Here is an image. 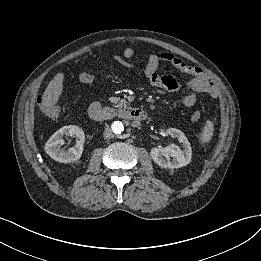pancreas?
I'll list each match as a JSON object with an SVG mask.
<instances>
[{"mask_svg":"<svg viewBox=\"0 0 261 261\" xmlns=\"http://www.w3.org/2000/svg\"><path fill=\"white\" fill-rule=\"evenodd\" d=\"M110 102L112 103V104H114L113 106H115V105H117V106H123V105H125L126 104V101L125 100H122V99H120V97H110Z\"/></svg>","mask_w":261,"mask_h":261,"instance_id":"1","label":"pancreas"}]
</instances>
